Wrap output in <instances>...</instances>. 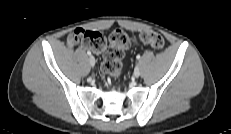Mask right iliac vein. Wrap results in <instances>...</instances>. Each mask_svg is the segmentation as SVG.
Segmentation results:
<instances>
[{"label":"right iliac vein","mask_w":231,"mask_h":134,"mask_svg":"<svg viewBox=\"0 0 231 134\" xmlns=\"http://www.w3.org/2000/svg\"><path fill=\"white\" fill-rule=\"evenodd\" d=\"M89 64H90L91 66H94V65H95V58H94L93 56H90V57H89Z\"/></svg>","instance_id":"obj_1"}]
</instances>
